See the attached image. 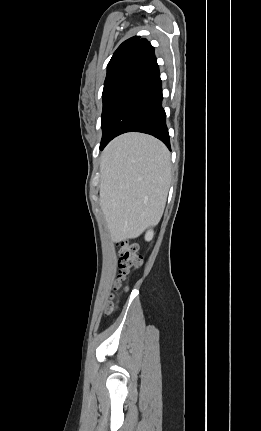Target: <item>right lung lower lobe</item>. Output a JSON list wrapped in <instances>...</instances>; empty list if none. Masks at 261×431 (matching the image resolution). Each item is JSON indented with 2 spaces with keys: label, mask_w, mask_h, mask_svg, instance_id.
<instances>
[{
  "label": "right lung lower lobe",
  "mask_w": 261,
  "mask_h": 431,
  "mask_svg": "<svg viewBox=\"0 0 261 431\" xmlns=\"http://www.w3.org/2000/svg\"><path fill=\"white\" fill-rule=\"evenodd\" d=\"M162 99V82L155 61L139 73L120 102L109 129L106 145L122 133L135 131L160 139L170 149Z\"/></svg>",
  "instance_id": "1"
}]
</instances>
